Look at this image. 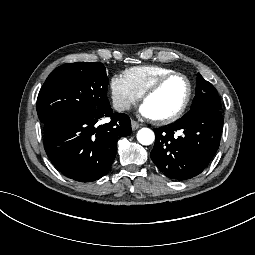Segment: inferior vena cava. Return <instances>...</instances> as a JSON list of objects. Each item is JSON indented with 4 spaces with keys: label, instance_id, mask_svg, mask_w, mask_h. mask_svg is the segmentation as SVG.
<instances>
[{
    "label": "inferior vena cava",
    "instance_id": "inferior-vena-cava-1",
    "mask_svg": "<svg viewBox=\"0 0 255 255\" xmlns=\"http://www.w3.org/2000/svg\"><path fill=\"white\" fill-rule=\"evenodd\" d=\"M131 103L128 99L120 96L113 97V107L117 111H124L130 109Z\"/></svg>",
    "mask_w": 255,
    "mask_h": 255
}]
</instances>
